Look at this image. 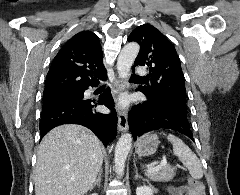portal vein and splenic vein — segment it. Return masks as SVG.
Listing matches in <instances>:
<instances>
[{
  "instance_id": "1",
  "label": "portal vein and splenic vein",
  "mask_w": 240,
  "mask_h": 195,
  "mask_svg": "<svg viewBox=\"0 0 240 195\" xmlns=\"http://www.w3.org/2000/svg\"><path fill=\"white\" fill-rule=\"evenodd\" d=\"M154 165L155 167H149V169H147L148 173H150V171H158L162 165H167V159H161L160 163H154Z\"/></svg>"
}]
</instances>
